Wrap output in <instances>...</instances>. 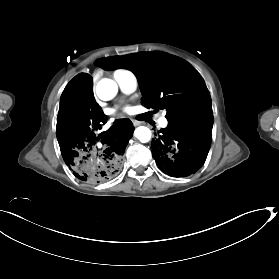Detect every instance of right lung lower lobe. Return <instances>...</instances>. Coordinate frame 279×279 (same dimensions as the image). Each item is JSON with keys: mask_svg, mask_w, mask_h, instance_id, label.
Here are the masks:
<instances>
[{"mask_svg": "<svg viewBox=\"0 0 279 279\" xmlns=\"http://www.w3.org/2000/svg\"><path fill=\"white\" fill-rule=\"evenodd\" d=\"M92 87V77L85 73L68 83L60 99L56 133L69 169L78 179L96 184L118 174L134 127L129 119H119L107 131L97 132L107 117L95 102Z\"/></svg>", "mask_w": 279, "mask_h": 279, "instance_id": "right-lung-lower-lobe-1", "label": "right lung lower lobe"}]
</instances>
